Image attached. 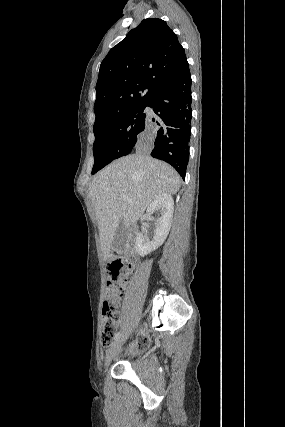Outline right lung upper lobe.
<instances>
[{
	"label": "right lung upper lobe",
	"mask_w": 285,
	"mask_h": 427,
	"mask_svg": "<svg viewBox=\"0 0 285 427\" xmlns=\"http://www.w3.org/2000/svg\"><path fill=\"white\" fill-rule=\"evenodd\" d=\"M188 72L184 48L166 22L143 20L100 65L94 127L123 109L148 102Z\"/></svg>",
	"instance_id": "1"
}]
</instances>
